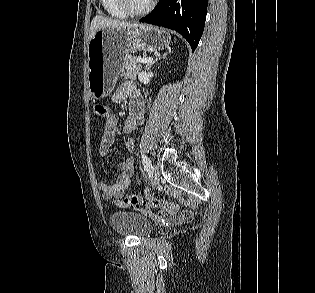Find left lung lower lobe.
I'll list each match as a JSON object with an SVG mask.
<instances>
[{"mask_svg": "<svg viewBox=\"0 0 315 293\" xmlns=\"http://www.w3.org/2000/svg\"><path fill=\"white\" fill-rule=\"evenodd\" d=\"M208 0H160L140 22L179 32L194 51L203 33Z\"/></svg>", "mask_w": 315, "mask_h": 293, "instance_id": "0a47b994", "label": "left lung lower lobe"}]
</instances>
